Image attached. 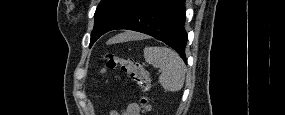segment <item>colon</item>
Segmentation results:
<instances>
[{"mask_svg": "<svg viewBox=\"0 0 285 115\" xmlns=\"http://www.w3.org/2000/svg\"><path fill=\"white\" fill-rule=\"evenodd\" d=\"M120 68L140 87L143 92L149 91L151 79L148 71L138 62L113 54L106 55L104 64L100 67L103 73L108 69Z\"/></svg>", "mask_w": 285, "mask_h": 115, "instance_id": "5ec220e1", "label": "colon"}]
</instances>
